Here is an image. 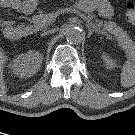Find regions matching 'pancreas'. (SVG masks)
Instances as JSON below:
<instances>
[{
  "mask_svg": "<svg viewBox=\"0 0 135 135\" xmlns=\"http://www.w3.org/2000/svg\"><path fill=\"white\" fill-rule=\"evenodd\" d=\"M89 13V10H85ZM54 15V13H39L32 17V23L35 30H43L45 29L50 22V17ZM92 15L89 14L88 20L91 21ZM103 27V30H106L117 37L119 45L126 50L129 54H135V43L129 38L128 34L123 31L122 27L117 26L114 22H102L97 21L96 28L100 30Z\"/></svg>",
  "mask_w": 135,
  "mask_h": 135,
  "instance_id": "1",
  "label": "pancreas"
}]
</instances>
